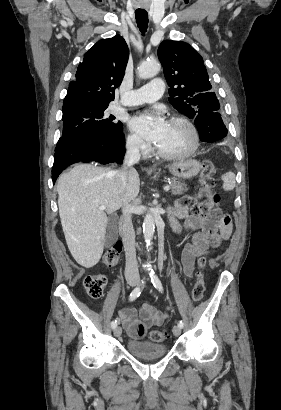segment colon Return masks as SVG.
I'll return each mask as SVG.
<instances>
[{
	"label": "colon",
	"mask_w": 281,
	"mask_h": 410,
	"mask_svg": "<svg viewBox=\"0 0 281 410\" xmlns=\"http://www.w3.org/2000/svg\"><path fill=\"white\" fill-rule=\"evenodd\" d=\"M216 174V166L210 160L203 164L201 171V184L206 195V200L196 205V212L200 214H208L211 212H218L220 210V197L214 191V175ZM224 222L230 223L229 215H224ZM122 252V244L117 242L115 245L107 249L103 255L104 263L109 267L118 265L120 255ZM206 258L201 257L198 261L199 269L205 267ZM106 285V278L103 275H88L84 279V288L87 295L92 299H99L102 297ZM204 281L202 272L197 273V279L191 292V298L194 303H198L204 296ZM149 340L152 342H163L167 338V333L163 330L153 329L148 333Z\"/></svg>",
	"instance_id": "5ec220e1"
}]
</instances>
